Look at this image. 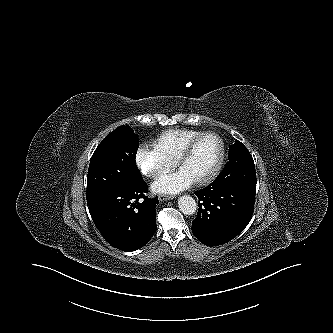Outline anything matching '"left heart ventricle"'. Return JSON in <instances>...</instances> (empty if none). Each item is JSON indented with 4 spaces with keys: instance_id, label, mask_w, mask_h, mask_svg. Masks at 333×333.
Segmentation results:
<instances>
[{
    "instance_id": "b2bd125f",
    "label": "left heart ventricle",
    "mask_w": 333,
    "mask_h": 333,
    "mask_svg": "<svg viewBox=\"0 0 333 333\" xmlns=\"http://www.w3.org/2000/svg\"><path fill=\"white\" fill-rule=\"evenodd\" d=\"M220 154V145L215 137L202 139L192 154L181 165L183 170L194 182L207 176L216 164Z\"/></svg>"
}]
</instances>
